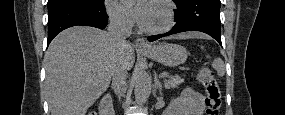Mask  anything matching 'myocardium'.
Returning a JSON list of instances; mask_svg holds the SVG:
<instances>
[{"label": "myocardium", "instance_id": "1", "mask_svg": "<svg viewBox=\"0 0 285 115\" xmlns=\"http://www.w3.org/2000/svg\"><path fill=\"white\" fill-rule=\"evenodd\" d=\"M154 3L159 4L164 7L165 9V18L162 25L155 27V28H149L146 26H143L142 29L145 32L151 33V34H161L164 32L169 31L175 23V11L174 6L171 1L169 0H156Z\"/></svg>", "mask_w": 285, "mask_h": 115}]
</instances>
